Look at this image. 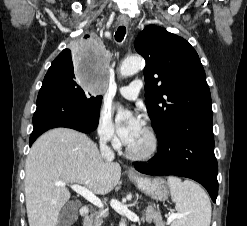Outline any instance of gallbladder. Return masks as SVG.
I'll return each instance as SVG.
<instances>
[{
  "label": "gallbladder",
  "instance_id": "1",
  "mask_svg": "<svg viewBox=\"0 0 247 226\" xmlns=\"http://www.w3.org/2000/svg\"><path fill=\"white\" fill-rule=\"evenodd\" d=\"M81 203L76 200L67 202L61 209L57 226H72L78 218Z\"/></svg>",
  "mask_w": 247,
  "mask_h": 226
}]
</instances>
